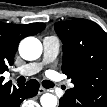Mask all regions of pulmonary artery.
Masks as SVG:
<instances>
[{
	"mask_svg": "<svg viewBox=\"0 0 107 107\" xmlns=\"http://www.w3.org/2000/svg\"><path fill=\"white\" fill-rule=\"evenodd\" d=\"M60 42L54 36L45 37L43 40V61L38 63H29L18 69L22 76H31L39 72L44 64L52 62L58 55Z\"/></svg>",
	"mask_w": 107,
	"mask_h": 107,
	"instance_id": "obj_1",
	"label": "pulmonary artery"
}]
</instances>
